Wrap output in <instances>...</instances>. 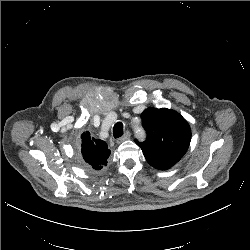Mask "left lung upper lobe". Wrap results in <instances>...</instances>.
<instances>
[{
  "mask_svg": "<svg viewBox=\"0 0 250 250\" xmlns=\"http://www.w3.org/2000/svg\"><path fill=\"white\" fill-rule=\"evenodd\" d=\"M146 141L139 143L147 162L158 170H167L186 153L191 130L187 121L176 111L149 107L141 114Z\"/></svg>",
  "mask_w": 250,
  "mask_h": 250,
  "instance_id": "obj_1",
  "label": "left lung upper lobe"
}]
</instances>
